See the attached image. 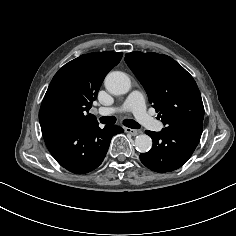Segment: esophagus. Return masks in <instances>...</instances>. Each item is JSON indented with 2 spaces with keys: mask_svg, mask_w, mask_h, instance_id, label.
<instances>
[{
  "mask_svg": "<svg viewBox=\"0 0 236 236\" xmlns=\"http://www.w3.org/2000/svg\"><path fill=\"white\" fill-rule=\"evenodd\" d=\"M126 133L131 134L132 136H136L140 133L139 130L131 129V128H125L124 129Z\"/></svg>",
  "mask_w": 236,
  "mask_h": 236,
  "instance_id": "obj_1",
  "label": "esophagus"
}]
</instances>
